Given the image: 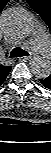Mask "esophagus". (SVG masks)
Here are the masks:
<instances>
[{"mask_svg": "<svg viewBox=\"0 0 51 153\" xmlns=\"http://www.w3.org/2000/svg\"><path fill=\"white\" fill-rule=\"evenodd\" d=\"M31 58H32V56H23V57H20V60L21 61H27V60H29Z\"/></svg>", "mask_w": 51, "mask_h": 153, "instance_id": "1", "label": "esophagus"}]
</instances>
